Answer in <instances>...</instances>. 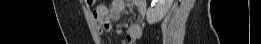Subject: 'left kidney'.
<instances>
[{"instance_id":"5707ae66","label":"left kidney","mask_w":261,"mask_h":44,"mask_svg":"<svg viewBox=\"0 0 261 44\" xmlns=\"http://www.w3.org/2000/svg\"><path fill=\"white\" fill-rule=\"evenodd\" d=\"M155 6L148 8L147 10V22L154 24L162 20V18L168 13L173 0H153Z\"/></svg>"}]
</instances>
